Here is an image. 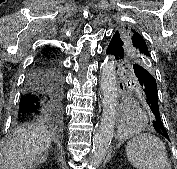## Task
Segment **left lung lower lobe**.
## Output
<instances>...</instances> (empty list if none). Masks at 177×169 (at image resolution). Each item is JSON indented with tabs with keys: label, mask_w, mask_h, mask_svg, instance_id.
I'll use <instances>...</instances> for the list:
<instances>
[{
	"label": "left lung lower lobe",
	"mask_w": 177,
	"mask_h": 169,
	"mask_svg": "<svg viewBox=\"0 0 177 169\" xmlns=\"http://www.w3.org/2000/svg\"><path fill=\"white\" fill-rule=\"evenodd\" d=\"M107 54L110 55L111 60L118 61L117 49L112 43H109ZM131 68L134 72V75L136 76V84L139 89H141V91L145 93L147 104L149 105L154 115V120L152 124L154 130L170 141L159 110L157 83L155 78L148 69L138 63L131 64Z\"/></svg>",
	"instance_id": "0a47b994"
}]
</instances>
